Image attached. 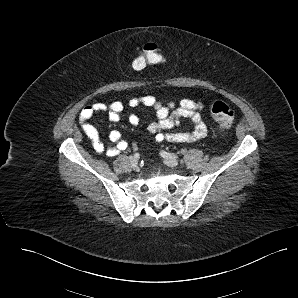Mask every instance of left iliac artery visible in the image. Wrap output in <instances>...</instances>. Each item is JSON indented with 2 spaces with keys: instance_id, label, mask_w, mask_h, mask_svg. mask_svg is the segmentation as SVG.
I'll return each instance as SVG.
<instances>
[{
  "instance_id": "1",
  "label": "left iliac artery",
  "mask_w": 298,
  "mask_h": 298,
  "mask_svg": "<svg viewBox=\"0 0 298 298\" xmlns=\"http://www.w3.org/2000/svg\"><path fill=\"white\" fill-rule=\"evenodd\" d=\"M161 156L164 157V158H178V156L174 153H170V152H166L164 150H162L160 152Z\"/></svg>"
}]
</instances>
